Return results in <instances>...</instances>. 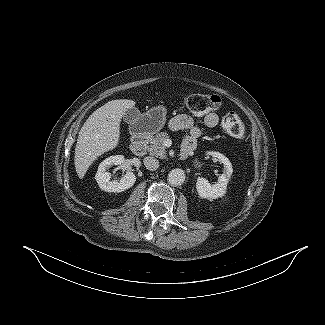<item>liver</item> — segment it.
<instances>
[{"label":"liver","mask_w":325,"mask_h":325,"mask_svg":"<svg viewBox=\"0 0 325 325\" xmlns=\"http://www.w3.org/2000/svg\"><path fill=\"white\" fill-rule=\"evenodd\" d=\"M134 106L133 100H112L95 110L86 120L78 135L74 157L80 179L99 156L117 147L122 117Z\"/></svg>","instance_id":"1"}]
</instances>
